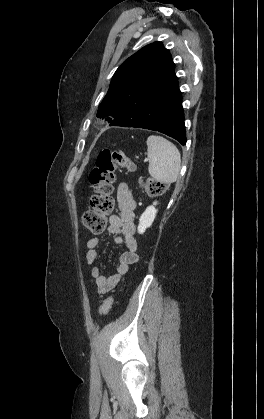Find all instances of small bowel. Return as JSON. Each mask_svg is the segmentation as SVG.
<instances>
[{"label":"small bowel","instance_id":"small-bowel-1","mask_svg":"<svg viewBox=\"0 0 264 419\" xmlns=\"http://www.w3.org/2000/svg\"><path fill=\"white\" fill-rule=\"evenodd\" d=\"M116 204L118 213L109 217L108 232L112 234L113 240L117 244L124 245V251L119 257V265L114 272L105 275L99 266L91 269V275L95 280L98 293L102 296L114 289L125 276L131 265L138 262L137 241L135 233V214L136 203L133 199L129 185L126 182H120L116 189ZM100 244L98 236L90 238L87 243L86 262L93 264L99 257L97 250Z\"/></svg>","mask_w":264,"mask_h":419}]
</instances>
